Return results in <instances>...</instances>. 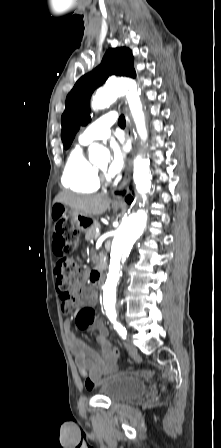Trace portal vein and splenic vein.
Masks as SVG:
<instances>
[{
	"label": "portal vein and splenic vein",
	"mask_w": 221,
	"mask_h": 448,
	"mask_svg": "<svg viewBox=\"0 0 221 448\" xmlns=\"http://www.w3.org/2000/svg\"><path fill=\"white\" fill-rule=\"evenodd\" d=\"M100 235H101V233L99 231H97L96 235H95V238L97 239Z\"/></svg>",
	"instance_id": "18ae733b"
}]
</instances>
